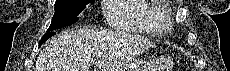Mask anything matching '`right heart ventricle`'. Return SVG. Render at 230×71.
I'll use <instances>...</instances> for the list:
<instances>
[{
	"label": "right heart ventricle",
	"mask_w": 230,
	"mask_h": 71,
	"mask_svg": "<svg viewBox=\"0 0 230 71\" xmlns=\"http://www.w3.org/2000/svg\"><path fill=\"white\" fill-rule=\"evenodd\" d=\"M106 11L109 24L117 30L159 35L169 29L163 1L116 0L108 3Z\"/></svg>",
	"instance_id": "obj_1"
}]
</instances>
